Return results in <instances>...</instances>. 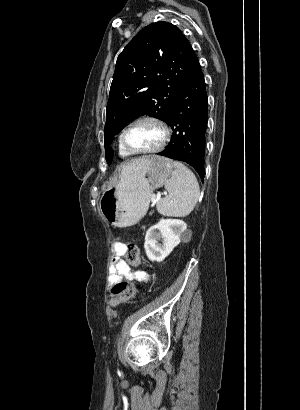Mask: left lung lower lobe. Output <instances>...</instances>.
<instances>
[{
  "label": "left lung lower lobe",
  "mask_w": 300,
  "mask_h": 410,
  "mask_svg": "<svg viewBox=\"0 0 300 410\" xmlns=\"http://www.w3.org/2000/svg\"><path fill=\"white\" fill-rule=\"evenodd\" d=\"M165 122L172 128L173 134L167 148L158 155L187 162L203 180L208 96L198 58L182 84Z\"/></svg>",
  "instance_id": "1"
}]
</instances>
